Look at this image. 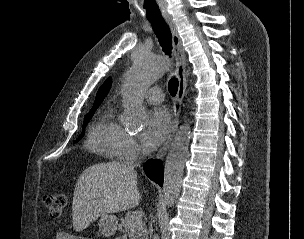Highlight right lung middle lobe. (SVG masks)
Returning <instances> with one entry per match:
<instances>
[{"mask_svg": "<svg viewBox=\"0 0 304 239\" xmlns=\"http://www.w3.org/2000/svg\"><path fill=\"white\" fill-rule=\"evenodd\" d=\"M98 107H94L91 109V111L85 116V119H84V124H83V129H85L88 121L90 120V118L93 116L95 110L97 109ZM84 135V131L83 133L79 136V138L76 140V142H78Z\"/></svg>", "mask_w": 304, "mask_h": 239, "instance_id": "1", "label": "right lung middle lobe"}]
</instances>
